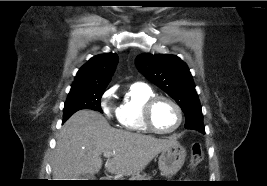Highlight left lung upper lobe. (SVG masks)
Instances as JSON below:
<instances>
[{"label": "left lung upper lobe", "mask_w": 267, "mask_h": 186, "mask_svg": "<svg viewBox=\"0 0 267 186\" xmlns=\"http://www.w3.org/2000/svg\"><path fill=\"white\" fill-rule=\"evenodd\" d=\"M139 71L171 96L183 110L185 128L204 133L203 115L192 75L187 65L176 55L150 53L136 57Z\"/></svg>", "instance_id": "left-lung-upper-lobe-1"}]
</instances>
